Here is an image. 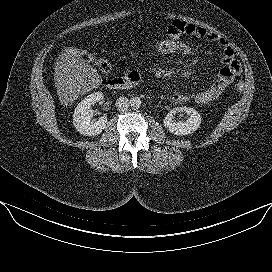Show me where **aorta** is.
Segmentation results:
<instances>
[{
    "instance_id": "762f6f07",
    "label": "aorta",
    "mask_w": 272,
    "mask_h": 272,
    "mask_svg": "<svg viewBox=\"0 0 272 272\" xmlns=\"http://www.w3.org/2000/svg\"><path fill=\"white\" fill-rule=\"evenodd\" d=\"M129 103H130V106L133 108V109H138L141 104H142V101H141V98L138 97V96H133L130 98L129 100Z\"/></svg>"
}]
</instances>
